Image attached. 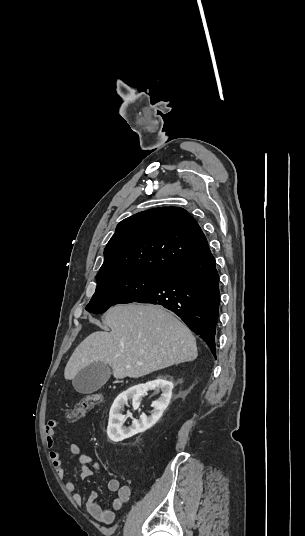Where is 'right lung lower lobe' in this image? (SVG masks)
Instances as JSON below:
<instances>
[{
	"instance_id": "right-lung-lower-lobe-1",
	"label": "right lung lower lobe",
	"mask_w": 305,
	"mask_h": 536,
	"mask_svg": "<svg viewBox=\"0 0 305 536\" xmlns=\"http://www.w3.org/2000/svg\"><path fill=\"white\" fill-rule=\"evenodd\" d=\"M219 300V275L215 258L210 253L171 271L160 284L135 302L159 304L173 311L216 356L214 338Z\"/></svg>"
}]
</instances>
